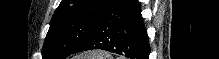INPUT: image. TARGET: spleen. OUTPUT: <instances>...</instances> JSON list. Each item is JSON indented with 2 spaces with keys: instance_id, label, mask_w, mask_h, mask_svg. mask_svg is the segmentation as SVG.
I'll return each instance as SVG.
<instances>
[{
  "instance_id": "1",
  "label": "spleen",
  "mask_w": 219,
  "mask_h": 59,
  "mask_svg": "<svg viewBox=\"0 0 219 59\" xmlns=\"http://www.w3.org/2000/svg\"><path fill=\"white\" fill-rule=\"evenodd\" d=\"M106 57L108 56H105L101 52H93V53L87 54L85 56V59H104V58L106 59Z\"/></svg>"
}]
</instances>
